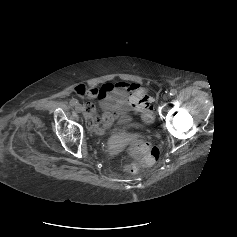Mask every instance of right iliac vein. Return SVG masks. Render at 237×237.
Wrapping results in <instances>:
<instances>
[{
  "label": "right iliac vein",
  "mask_w": 237,
  "mask_h": 237,
  "mask_svg": "<svg viewBox=\"0 0 237 237\" xmlns=\"http://www.w3.org/2000/svg\"><path fill=\"white\" fill-rule=\"evenodd\" d=\"M75 109H76V111H77L78 113H82V112H83V107H82L81 104H77V105L75 106Z\"/></svg>",
  "instance_id": "obj_1"
}]
</instances>
